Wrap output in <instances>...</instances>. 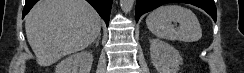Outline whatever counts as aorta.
Segmentation results:
<instances>
[{
	"mask_svg": "<svg viewBox=\"0 0 244 73\" xmlns=\"http://www.w3.org/2000/svg\"><path fill=\"white\" fill-rule=\"evenodd\" d=\"M135 0H120V6L124 13L132 10Z\"/></svg>",
	"mask_w": 244,
	"mask_h": 73,
	"instance_id": "1",
	"label": "aorta"
}]
</instances>
